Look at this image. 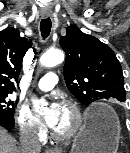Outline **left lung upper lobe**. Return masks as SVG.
<instances>
[{"label":"left lung upper lobe","instance_id":"1","mask_svg":"<svg viewBox=\"0 0 130 153\" xmlns=\"http://www.w3.org/2000/svg\"><path fill=\"white\" fill-rule=\"evenodd\" d=\"M60 45L66 53L67 88L80 103L89 105L111 97L125 100L122 68L110 47L75 25L67 28Z\"/></svg>","mask_w":130,"mask_h":153}]
</instances>
